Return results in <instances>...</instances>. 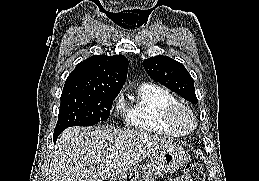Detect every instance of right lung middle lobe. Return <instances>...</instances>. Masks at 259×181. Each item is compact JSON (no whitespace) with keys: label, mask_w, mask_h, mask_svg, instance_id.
<instances>
[{"label":"right lung middle lobe","mask_w":259,"mask_h":181,"mask_svg":"<svg viewBox=\"0 0 259 181\" xmlns=\"http://www.w3.org/2000/svg\"><path fill=\"white\" fill-rule=\"evenodd\" d=\"M117 95L88 91H62L54 137L68 127L90 126L108 119L113 100Z\"/></svg>","instance_id":"1"}]
</instances>
